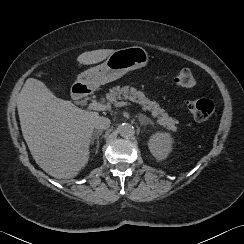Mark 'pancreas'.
Here are the masks:
<instances>
[{
	"label": "pancreas",
	"instance_id": "obj_1",
	"mask_svg": "<svg viewBox=\"0 0 244 244\" xmlns=\"http://www.w3.org/2000/svg\"><path fill=\"white\" fill-rule=\"evenodd\" d=\"M106 99L109 102H117L118 100H130L132 102L139 103L143 106L145 110L152 112L154 117H157V122L162 126H167L168 130L176 131L178 121L168 115L164 109H162L159 104L155 101L149 100L141 91H137L133 87H120L115 86L109 90L106 94Z\"/></svg>",
	"mask_w": 244,
	"mask_h": 244
}]
</instances>
